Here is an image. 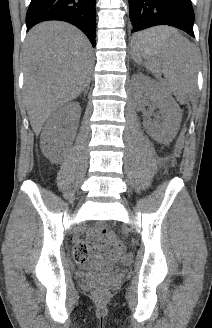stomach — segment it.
Here are the masks:
<instances>
[{
  "instance_id": "0dacf381",
  "label": "stomach",
  "mask_w": 212,
  "mask_h": 328,
  "mask_svg": "<svg viewBox=\"0 0 212 328\" xmlns=\"http://www.w3.org/2000/svg\"><path fill=\"white\" fill-rule=\"evenodd\" d=\"M133 55L134 57L141 61L143 58L149 59L154 55H158V53L154 50H149V51H136L135 48L133 49Z\"/></svg>"
}]
</instances>
